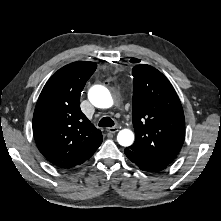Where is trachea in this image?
Here are the masks:
<instances>
[{
	"instance_id": "1",
	"label": "trachea",
	"mask_w": 221,
	"mask_h": 221,
	"mask_svg": "<svg viewBox=\"0 0 221 221\" xmlns=\"http://www.w3.org/2000/svg\"><path fill=\"white\" fill-rule=\"evenodd\" d=\"M114 126V121L110 117H103L99 121V127H112Z\"/></svg>"
}]
</instances>
